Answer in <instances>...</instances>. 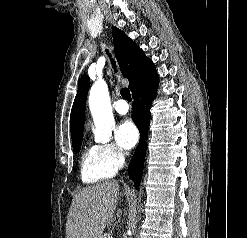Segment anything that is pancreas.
Listing matches in <instances>:
<instances>
[{
    "mask_svg": "<svg viewBox=\"0 0 247 238\" xmlns=\"http://www.w3.org/2000/svg\"><path fill=\"white\" fill-rule=\"evenodd\" d=\"M101 238H110L108 234H104Z\"/></svg>",
    "mask_w": 247,
    "mask_h": 238,
    "instance_id": "pancreas-1",
    "label": "pancreas"
}]
</instances>
